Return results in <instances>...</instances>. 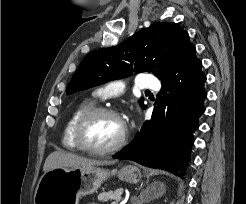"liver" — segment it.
Instances as JSON below:
<instances>
[{
	"label": "liver",
	"mask_w": 246,
	"mask_h": 204,
	"mask_svg": "<svg viewBox=\"0 0 246 204\" xmlns=\"http://www.w3.org/2000/svg\"><path fill=\"white\" fill-rule=\"evenodd\" d=\"M116 161H101L95 159H89L86 157H80L78 155L67 153L64 151H54L48 155L45 160L43 171L46 173L54 168H73L82 166H100L111 165Z\"/></svg>",
	"instance_id": "6515ba94"
}]
</instances>
